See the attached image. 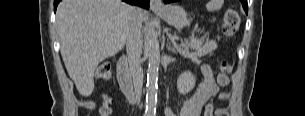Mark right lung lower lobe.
Here are the masks:
<instances>
[{"instance_id":"1","label":"right lung lower lobe","mask_w":305,"mask_h":116,"mask_svg":"<svg viewBox=\"0 0 305 116\" xmlns=\"http://www.w3.org/2000/svg\"><path fill=\"white\" fill-rule=\"evenodd\" d=\"M124 2H127L129 4L139 5L141 7H144L146 9H149V1L150 0H144L142 3L139 2V0H123ZM60 0H54V10H56L57 5L59 4Z\"/></svg>"}]
</instances>
